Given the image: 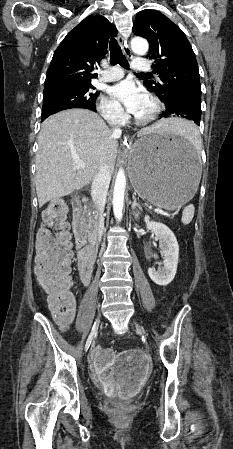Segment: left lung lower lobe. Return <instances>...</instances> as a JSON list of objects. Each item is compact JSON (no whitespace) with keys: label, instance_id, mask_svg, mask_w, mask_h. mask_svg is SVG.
<instances>
[{"label":"left lung lower lobe","instance_id":"0a47b994","mask_svg":"<svg viewBox=\"0 0 233 449\" xmlns=\"http://www.w3.org/2000/svg\"><path fill=\"white\" fill-rule=\"evenodd\" d=\"M165 107L166 111L161 114V117H181L192 120L197 125H200L201 107L185 101H175L171 104L165 103Z\"/></svg>","mask_w":233,"mask_h":449}]
</instances>
